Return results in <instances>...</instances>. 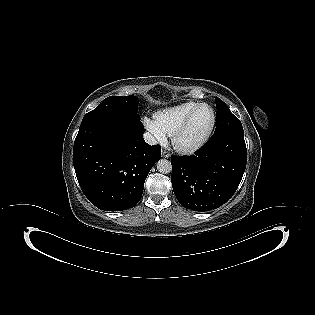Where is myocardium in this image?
I'll return each mask as SVG.
<instances>
[{"instance_id":"myocardium-1","label":"myocardium","mask_w":315,"mask_h":315,"mask_svg":"<svg viewBox=\"0 0 315 315\" xmlns=\"http://www.w3.org/2000/svg\"><path fill=\"white\" fill-rule=\"evenodd\" d=\"M202 107H208L210 108L212 112V122L211 125L206 132V134L196 143L189 145V146H184L180 143V139L183 136V134L186 132L188 129L192 119L194 118L195 114L198 112L199 109ZM216 111L214 107L208 103H200L197 105L188 115L187 117L183 120V122L179 125V127L175 130L174 134L172 135V144L173 147L180 153L182 154H193L200 150L210 139L215 125H216Z\"/></svg>"}]
</instances>
